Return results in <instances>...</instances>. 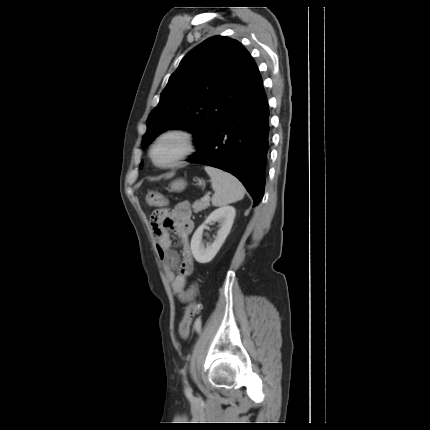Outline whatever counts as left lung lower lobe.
I'll list each match as a JSON object with an SVG mask.
<instances>
[{
    "label": "left lung lower lobe",
    "instance_id": "1",
    "mask_svg": "<svg viewBox=\"0 0 430 430\" xmlns=\"http://www.w3.org/2000/svg\"><path fill=\"white\" fill-rule=\"evenodd\" d=\"M256 89L234 104L215 125L200 130L198 150L186 161L225 170L252 196L253 207L264 195L269 150V108L259 71Z\"/></svg>",
    "mask_w": 430,
    "mask_h": 430
}]
</instances>
